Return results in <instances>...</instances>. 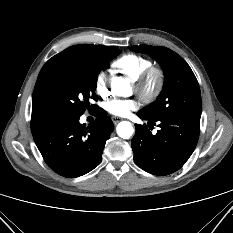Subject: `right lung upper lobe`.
Masks as SVG:
<instances>
[{"label":"right lung upper lobe","mask_w":233,"mask_h":233,"mask_svg":"<svg viewBox=\"0 0 233 233\" xmlns=\"http://www.w3.org/2000/svg\"><path fill=\"white\" fill-rule=\"evenodd\" d=\"M103 46H98V45H91V44H80V45H74V46H71L67 49H65L64 51H62L61 53L55 55L54 57H52L50 60H48L46 62V64H49L50 62L54 61L55 59L65 55V54H68V53H71V52H77V51H94V50H97V49H100L102 48ZM42 117H40L37 112H36V109H35V105H34V102L32 100V119H31V122L32 121H36L38 119H40Z\"/></svg>","instance_id":"right-lung-upper-lobe-1"}]
</instances>
